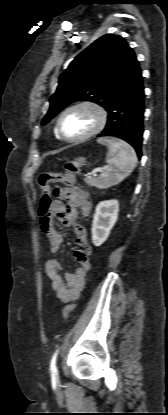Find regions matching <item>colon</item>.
<instances>
[{"label":"colon","mask_w":168,"mask_h":415,"mask_svg":"<svg viewBox=\"0 0 168 415\" xmlns=\"http://www.w3.org/2000/svg\"><path fill=\"white\" fill-rule=\"evenodd\" d=\"M80 172L79 167L74 163H67L65 170L62 173L44 174L39 178V183L42 189V195L39 205L40 220L45 227H48L55 218V208L51 200V187L50 183H63L67 186H71ZM76 309V304L67 305L62 312V317L66 320L71 313Z\"/></svg>","instance_id":"obj_1"}]
</instances>
